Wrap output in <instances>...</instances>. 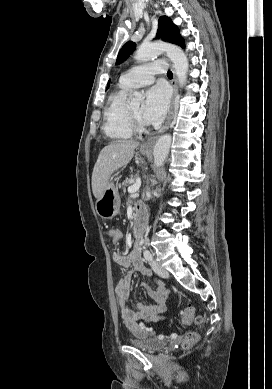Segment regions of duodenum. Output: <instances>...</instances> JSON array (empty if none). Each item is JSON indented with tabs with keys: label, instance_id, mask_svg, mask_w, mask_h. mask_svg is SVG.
Here are the masks:
<instances>
[{
	"label": "duodenum",
	"instance_id": "1",
	"mask_svg": "<svg viewBox=\"0 0 272 389\" xmlns=\"http://www.w3.org/2000/svg\"><path fill=\"white\" fill-rule=\"evenodd\" d=\"M146 227V215L141 209L135 210L134 215V237L140 239Z\"/></svg>",
	"mask_w": 272,
	"mask_h": 389
}]
</instances>
